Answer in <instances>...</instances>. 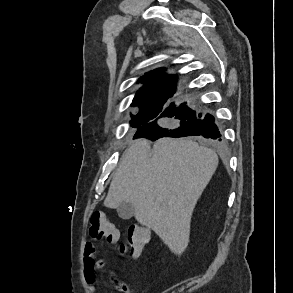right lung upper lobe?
<instances>
[{"instance_id":"right-lung-upper-lobe-1","label":"right lung upper lobe","mask_w":293,"mask_h":293,"mask_svg":"<svg viewBox=\"0 0 293 293\" xmlns=\"http://www.w3.org/2000/svg\"><path fill=\"white\" fill-rule=\"evenodd\" d=\"M163 71L164 68L155 69L138 80L144 82V86L136 93L132 103L134 106L148 107L149 111L156 110V115L162 113L165 104L176 93L177 80L175 75H162Z\"/></svg>"}]
</instances>
